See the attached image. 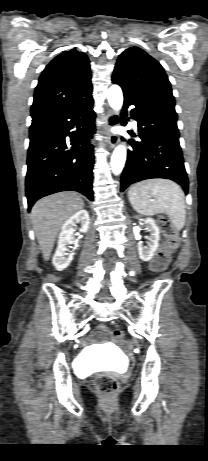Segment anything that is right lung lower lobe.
Instances as JSON below:
<instances>
[{
    "label": "right lung lower lobe",
    "instance_id": "98d812e1",
    "mask_svg": "<svg viewBox=\"0 0 208 461\" xmlns=\"http://www.w3.org/2000/svg\"><path fill=\"white\" fill-rule=\"evenodd\" d=\"M93 99L81 106L32 122L27 157L28 210L41 197L77 191L93 200ZM73 128L76 131L69 133ZM70 137V143L66 137Z\"/></svg>",
    "mask_w": 208,
    "mask_h": 461
}]
</instances>
